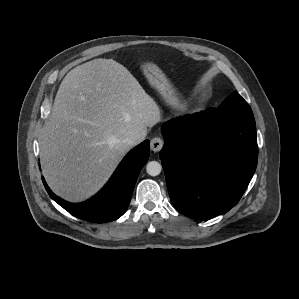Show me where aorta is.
<instances>
[{
    "label": "aorta",
    "mask_w": 299,
    "mask_h": 299,
    "mask_svg": "<svg viewBox=\"0 0 299 299\" xmlns=\"http://www.w3.org/2000/svg\"><path fill=\"white\" fill-rule=\"evenodd\" d=\"M162 166L157 161H150L146 166V171L151 176H157L161 173Z\"/></svg>",
    "instance_id": "obj_1"
}]
</instances>
